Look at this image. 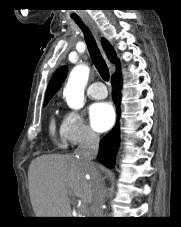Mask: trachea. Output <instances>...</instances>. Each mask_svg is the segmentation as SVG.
<instances>
[{
	"instance_id": "trachea-1",
	"label": "trachea",
	"mask_w": 181,
	"mask_h": 227,
	"mask_svg": "<svg viewBox=\"0 0 181 227\" xmlns=\"http://www.w3.org/2000/svg\"><path fill=\"white\" fill-rule=\"evenodd\" d=\"M76 23L80 26V28L82 29V31L84 33L87 48H88L90 57L95 65L96 69L100 73L101 77L104 80L108 81L109 80V70H108L105 60L103 59V57L99 51V48L96 44L94 37L92 36L89 29L80 20H76Z\"/></svg>"
}]
</instances>
